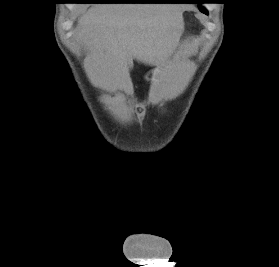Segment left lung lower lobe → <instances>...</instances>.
I'll return each instance as SVG.
<instances>
[{
  "mask_svg": "<svg viewBox=\"0 0 279 267\" xmlns=\"http://www.w3.org/2000/svg\"><path fill=\"white\" fill-rule=\"evenodd\" d=\"M185 3H198V4H201L203 2H201V1H186ZM200 11L202 13L208 14V11L205 8H203V7L200 8Z\"/></svg>",
  "mask_w": 279,
  "mask_h": 267,
  "instance_id": "0a47b994",
  "label": "left lung lower lobe"
}]
</instances>
